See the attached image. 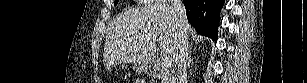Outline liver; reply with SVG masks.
<instances>
[{
	"instance_id": "1",
	"label": "liver",
	"mask_w": 307,
	"mask_h": 83,
	"mask_svg": "<svg viewBox=\"0 0 307 83\" xmlns=\"http://www.w3.org/2000/svg\"><path fill=\"white\" fill-rule=\"evenodd\" d=\"M193 32L189 26L188 35ZM178 45V18L172 6L154 4L129 10L110 24L104 46V65L110 69L117 63H137L146 69L159 51L163 58L176 61Z\"/></svg>"
}]
</instances>
